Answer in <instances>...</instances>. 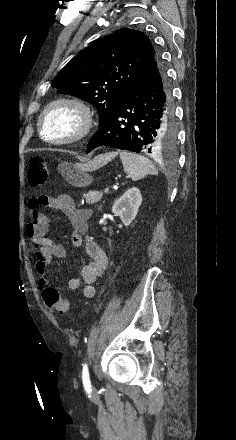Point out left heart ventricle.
I'll use <instances>...</instances> for the list:
<instances>
[{
    "instance_id": "1",
    "label": "left heart ventricle",
    "mask_w": 236,
    "mask_h": 440,
    "mask_svg": "<svg viewBox=\"0 0 236 440\" xmlns=\"http://www.w3.org/2000/svg\"><path fill=\"white\" fill-rule=\"evenodd\" d=\"M78 125L75 113L66 107H57L45 119V134L50 138L68 137L77 131Z\"/></svg>"
}]
</instances>
